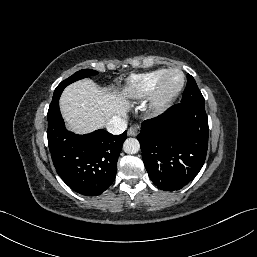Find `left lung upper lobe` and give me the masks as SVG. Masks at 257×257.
Listing matches in <instances>:
<instances>
[{"mask_svg": "<svg viewBox=\"0 0 257 257\" xmlns=\"http://www.w3.org/2000/svg\"><path fill=\"white\" fill-rule=\"evenodd\" d=\"M181 103H200L205 104L203 95L201 94L194 78L187 75V85L183 93Z\"/></svg>", "mask_w": 257, "mask_h": 257, "instance_id": "obj_1", "label": "left lung upper lobe"}]
</instances>
